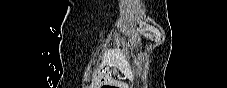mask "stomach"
<instances>
[{
  "instance_id": "obj_1",
  "label": "stomach",
  "mask_w": 227,
  "mask_h": 88,
  "mask_svg": "<svg viewBox=\"0 0 227 88\" xmlns=\"http://www.w3.org/2000/svg\"><path fill=\"white\" fill-rule=\"evenodd\" d=\"M112 70L114 71L115 69H114V68H112V69H111V71H112Z\"/></svg>"
}]
</instances>
